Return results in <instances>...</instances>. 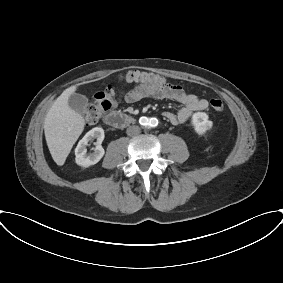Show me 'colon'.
Masks as SVG:
<instances>
[{"label": "colon", "mask_w": 283, "mask_h": 283, "mask_svg": "<svg viewBox=\"0 0 283 283\" xmlns=\"http://www.w3.org/2000/svg\"><path fill=\"white\" fill-rule=\"evenodd\" d=\"M123 79L126 82L135 83L146 90L158 89L166 84L162 76L140 70L128 72ZM209 104L211 109L216 112H221L224 109V104L220 99L213 98L210 100ZM110 108L111 101L107 96L106 91L98 93L87 107L85 116L86 123L88 125H95Z\"/></svg>", "instance_id": "colon-1"}]
</instances>
